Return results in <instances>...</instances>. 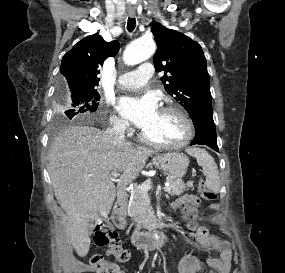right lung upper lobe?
I'll return each instance as SVG.
<instances>
[{"label":"right lung upper lobe","mask_w":285,"mask_h":273,"mask_svg":"<svg viewBox=\"0 0 285 273\" xmlns=\"http://www.w3.org/2000/svg\"><path fill=\"white\" fill-rule=\"evenodd\" d=\"M118 41L106 42L96 34L85 37L67 52L61 62V81L68 92L96 90L99 68L119 51Z\"/></svg>","instance_id":"cb5924a9"}]
</instances>
